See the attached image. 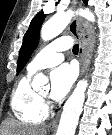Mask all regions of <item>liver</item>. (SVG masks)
Here are the masks:
<instances>
[{
    "instance_id": "1",
    "label": "liver",
    "mask_w": 112,
    "mask_h": 135,
    "mask_svg": "<svg viewBox=\"0 0 112 135\" xmlns=\"http://www.w3.org/2000/svg\"><path fill=\"white\" fill-rule=\"evenodd\" d=\"M2 135H46V126H26L15 120H5Z\"/></svg>"
}]
</instances>
